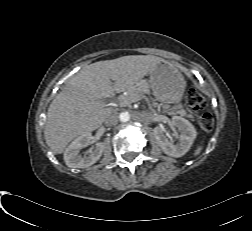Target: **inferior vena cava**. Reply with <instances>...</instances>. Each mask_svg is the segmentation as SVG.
Wrapping results in <instances>:
<instances>
[{
    "label": "inferior vena cava",
    "mask_w": 252,
    "mask_h": 231,
    "mask_svg": "<svg viewBox=\"0 0 252 231\" xmlns=\"http://www.w3.org/2000/svg\"><path fill=\"white\" fill-rule=\"evenodd\" d=\"M118 119L117 113H112L106 117L104 123L106 126H115L118 123Z\"/></svg>",
    "instance_id": "1"
}]
</instances>
